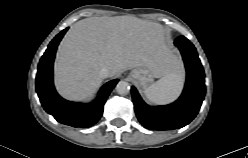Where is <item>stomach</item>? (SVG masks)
I'll return each instance as SVG.
<instances>
[{
  "mask_svg": "<svg viewBox=\"0 0 248 158\" xmlns=\"http://www.w3.org/2000/svg\"><path fill=\"white\" fill-rule=\"evenodd\" d=\"M173 69H175V64L167 66L165 72L169 73ZM130 76L143 88L149 87L155 78V75L148 67L135 68L131 71Z\"/></svg>",
  "mask_w": 248,
  "mask_h": 158,
  "instance_id": "stomach-1",
  "label": "stomach"
}]
</instances>
